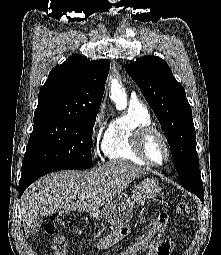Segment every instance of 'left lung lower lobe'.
Here are the masks:
<instances>
[{
    "mask_svg": "<svg viewBox=\"0 0 221 255\" xmlns=\"http://www.w3.org/2000/svg\"><path fill=\"white\" fill-rule=\"evenodd\" d=\"M192 193H194L195 195H197L199 198H200V200L202 201V202H204V191L203 190H201V191H197V190H193V192Z\"/></svg>",
    "mask_w": 221,
    "mask_h": 255,
    "instance_id": "1",
    "label": "left lung lower lobe"
}]
</instances>
